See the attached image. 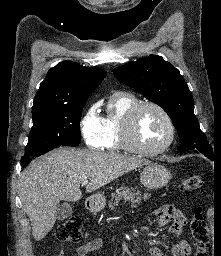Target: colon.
Returning a JSON list of instances; mask_svg holds the SVG:
<instances>
[{
  "mask_svg": "<svg viewBox=\"0 0 221 256\" xmlns=\"http://www.w3.org/2000/svg\"><path fill=\"white\" fill-rule=\"evenodd\" d=\"M203 180L197 175L186 177L181 183V190L192 192L203 187ZM82 224L79 218L71 217L56 227L55 235L62 242H77L81 239ZM191 233L195 242V256H207L209 234L201 208H197L191 222Z\"/></svg>",
  "mask_w": 221,
  "mask_h": 256,
  "instance_id": "obj_1",
  "label": "colon"
}]
</instances>
